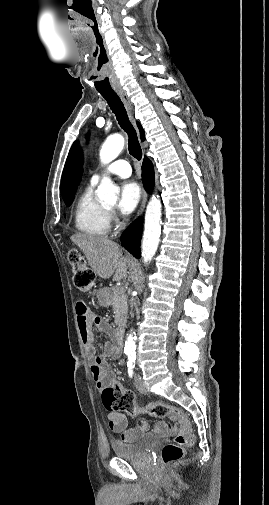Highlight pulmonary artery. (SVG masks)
<instances>
[{
  "label": "pulmonary artery",
  "mask_w": 269,
  "mask_h": 505,
  "mask_svg": "<svg viewBox=\"0 0 269 505\" xmlns=\"http://www.w3.org/2000/svg\"><path fill=\"white\" fill-rule=\"evenodd\" d=\"M107 174V175H117L122 178H127L131 175V167L129 163L126 160L119 159L111 164H109L105 169L102 171H99L95 173L92 176L91 182L97 183L102 175Z\"/></svg>",
  "instance_id": "e3ab8cb5"
}]
</instances>
